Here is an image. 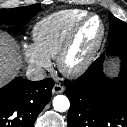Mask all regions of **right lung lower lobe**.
Returning <instances> with one entry per match:
<instances>
[{"label": "right lung lower lobe", "instance_id": "right-lung-lower-lobe-1", "mask_svg": "<svg viewBox=\"0 0 127 127\" xmlns=\"http://www.w3.org/2000/svg\"><path fill=\"white\" fill-rule=\"evenodd\" d=\"M54 81H27L19 77L0 89V127H34L50 101Z\"/></svg>", "mask_w": 127, "mask_h": 127}]
</instances>
